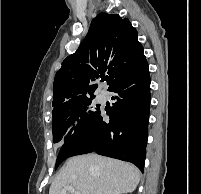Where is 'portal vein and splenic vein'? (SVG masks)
<instances>
[{
	"label": "portal vein and splenic vein",
	"mask_w": 201,
	"mask_h": 194,
	"mask_svg": "<svg viewBox=\"0 0 201 194\" xmlns=\"http://www.w3.org/2000/svg\"><path fill=\"white\" fill-rule=\"evenodd\" d=\"M67 192H70L71 194H80V192L75 191V189L72 186H66L61 190L60 194H66Z\"/></svg>",
	"instance_id": "portal-vein-and-splenic-vein-1"
}]
</instances>
